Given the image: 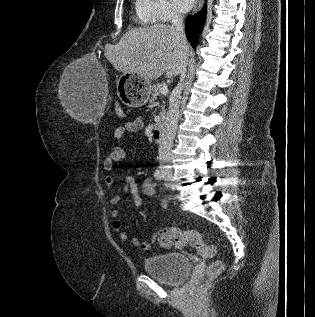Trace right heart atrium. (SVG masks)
Masks as SVG:
<instances>
[{"label":"right heart atrium","instance_id":"obj_1","mask_svg":"<svg viewBox=\"0 0 315 317\" xmlns=\"http://www.w3.org/2000/svg\"><path fill=\"white\" fill-rule=\"evenodd\" d=\"M146 9L155 21H168L176 16L166 0H143Z\"/></svg>","mask_w":315,"mask_h":317}]
</instances>
